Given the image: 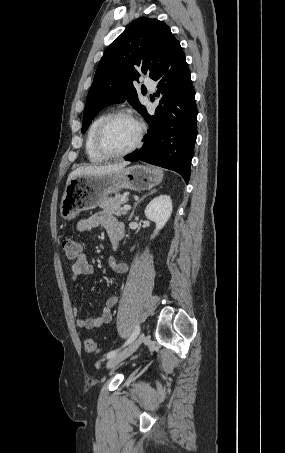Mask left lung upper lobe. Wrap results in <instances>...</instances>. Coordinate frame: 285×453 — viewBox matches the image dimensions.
I'll return each instance as SVG.
<instances>
[{
	"instance_id": "5c2ea615",
	"label": "left lung upper lobe",
	"mask_w": 285,
	"mask_h": 453,
	"mask_svg": "<svg viewBox=\"0 0 285 453\" xmlns=\"http://www.w3.org/2000/svg\"><path fill=\"white\" fill-rule=\"evenodd\" d=\"M179 44L170 28L157 19L141 17L105 50L86 99L82 133L107 105L128 101L142 114L133 85L140 73L153 79L162 69L172 49Z\"/></svg>"
}]
</instances>
